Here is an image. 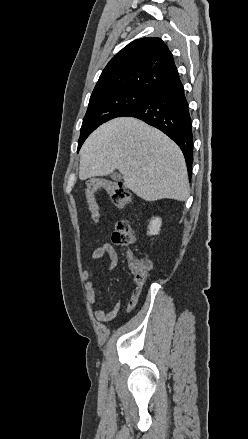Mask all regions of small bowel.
<instances>
[{"mask_svg":"<svg viewBox=\"0 0 248 439\" xmlns=\"http://www.w3.org/2000/svg\"><path fill=\"white\" fill-rule=\"evenodd\" d=\"M104 256H108L109 258V265L107 270L112 271L114 270L119 261V256L115 248L108 242L103 243L102 245L95 248L92 252V261L98 262L100 261ZM95 272L93 270H85L82 273L83 280L85 281V289H86V296L87 300L92 305H98L97 296H96V290L94 288V279H95ZM141 293V286H137L128 301L126 312L130 313L135 308L139 296ZM123 303L121 301H118L111 310L106 311L105 309L99 307L95 311V318L98 321L101 322H109L113 320L116 315L119 313V311L122 308Z\"/></svg>","mask_w":248,"mask_h":439,"instance_id":"obj_1","label":"small bowel"}]
</instances>
